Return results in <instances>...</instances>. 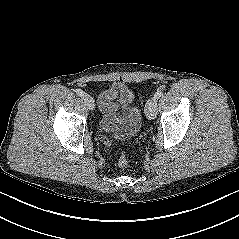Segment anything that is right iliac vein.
<instances>
[{
  "label": "right iliac vein",
  "instance_id": "1",
  "mask_svg": "<svg viewBox=\"0 0 239 239\" xmlns=\"http://www.w3.org/2000/svg\"><path fill=\"white\" fill-rule=\"evenodd\" d=\"M82 97H83V100H84L85 104L87 105L88 109L94 110L95 104H94L93 98L87 93H84V95Z\"/></svg>",
  "mask_w": 239,
  "mask_h": 239
}]
</instances>
